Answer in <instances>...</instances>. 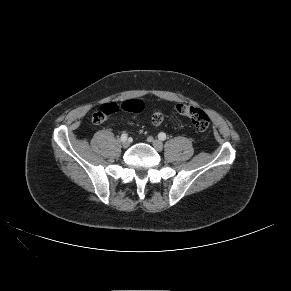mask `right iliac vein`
Listing matches in <instances>:
<instances>
[{
	"label": "right iliac vein",
	"instance_id": "1",
	"mask_svg": "<svg viewBox=\"0 0 291 291\" xmlns=\"http://www.w3.org/2000/svg\"><path fill=\"white\" fill-rule=\"evenodd\" d=\"M129 145H130V142H129L128 140H125V141L122 142V146H123L124 148H128Z\"/></svg>",
	"mask_w": 291,
	"mask_h": 291
}]
</instances>
